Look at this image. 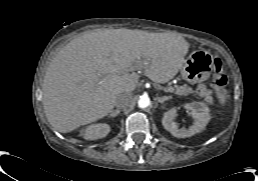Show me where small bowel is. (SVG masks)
Returning a JSON list of instances; mask_svg holds the SVG:
<instances>
[{"label": "small bowel", "instance_id": "obj_1", "mask_svg": "<svg viewBox=\"0 0 258 181\" xmlns=\"http://www.w3.org/2000/svg\"><path fill=\"white\" fill-rule=\"evenodd\" d=\"M196 92L198 96L203 98L208 103H211L213 101L212 92L205 85L198 86Z\"/></svg>", "mask_w": 258, "mask_h": 181}]
</instances>
